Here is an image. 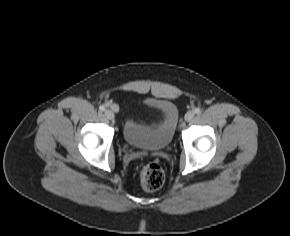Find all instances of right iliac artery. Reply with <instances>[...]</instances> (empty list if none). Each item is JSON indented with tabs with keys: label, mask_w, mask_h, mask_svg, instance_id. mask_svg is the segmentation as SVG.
<instances>
[{
	"label": "right iliac artery",
	"mask_w": 290,
	"mask_h": 236,
	"mask_svg": "<svg viewBox=\"0 0 290 236\" xmlns=\"http://www.w3.org/2000/svg\"><path fill=\"white\" fill-rule=\"evenodd\" d=\"M99 110L100 111H104L105 110V107L103 105L99 106Z\"/></svg>",
	"instance_id": "82829eb1"
}]
</instances>
